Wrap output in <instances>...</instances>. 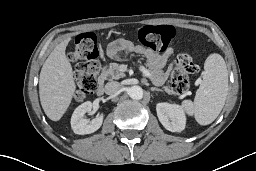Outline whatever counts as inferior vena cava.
Listing matches in <instances>:
<instances>
[{
    "instance_id": "602c4592",
    "label": "inferior vena cava",
    "mask_w": 256,
    "mask_h": 171,
    "mask_svg": "<svg viewBox=\"0 0 256 171\" xmlns=\"http://www.w3.org/2000/svg\"><path fill=\"white\" fill-rule=\"evenodd\" d=\"M120 89V84L118 82H108L105 85V93L107 95H112L118 92V90Z\"/></svg>"
}]
</instances>
